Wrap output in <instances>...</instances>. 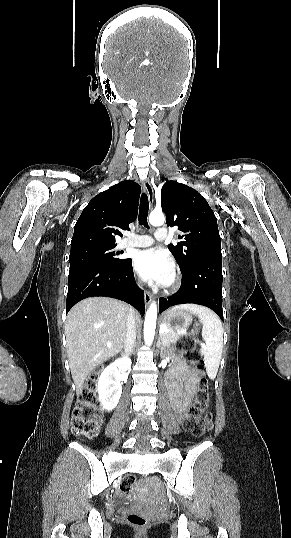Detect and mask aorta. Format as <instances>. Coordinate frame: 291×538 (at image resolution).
Segmentation results:
<instances>
[{
	"label": "aorta",
	"mask_w": 291,
	"mask_h": 538,
	"mask_svg": "<svg viewBox=\"0 0 291 538\" xmlns=\"http://www.w3.org/2000/svg\"><path fill=\"white\" fill-rule=\"evenodd\" d=\"M164 215L162 212H152L149 216L150 224L154 226H159L164 223ZM157 320V304L152 302L149 309L146 312L145 321H144V342L147 345H151L155 336Z\"/></svg>",
	"instance_id": "aorta-1"
}]
</instances>
